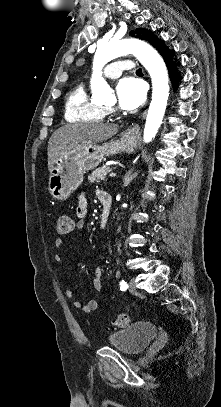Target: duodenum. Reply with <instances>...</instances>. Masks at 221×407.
I'll return each mask as SVG.
<instances>
[{
	"instance_id": "1",
	"label": "duodenum",
	"mask_w": 221,
	"mask_h": 407,
	"mask_svg": "<svg viewBox=\"0 0 221 407\" xmlns=\"http://www.w3.org/2000/svg\"><path fill=\"white\" fill-rule=\"evenodd\" d=\"M101 203H102V212L99 219V228L101 230H104L108 223L112 204V197L108 192H106L105 195L102 197Z\"/></svg>"
}]
</instances>
